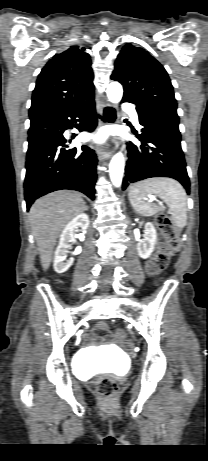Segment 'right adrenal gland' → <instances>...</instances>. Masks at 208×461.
I'll list each match as a JSON object with an SVG mask.
<instances>
[{
    "label": "right adrenal gland",
    "mask_w": 208,
    "mask_h": 461,
    "mask_svg": "<svg viewBox=\"0 0 208 461\" xmlns=\"http://www.w3.org/2000/svg\"><path fill=\"white\" fill-rule=\"evenodd\" d=\"M85 210L88 211V206H85Z\"/></svg>",
    "instance_id": "1"
}]
</instances>
